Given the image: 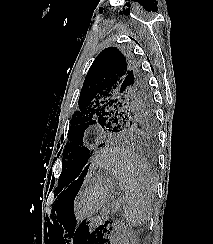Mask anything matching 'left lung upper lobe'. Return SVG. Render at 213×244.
I'll use <instances>...</instances> for the list:
<instances>
[{"label": "left lung upper lobe", "instance_id": "obj_1", "mask_svg": "<svg viewBox=\"0 0 213 244\" xmlns=\"http://www.w3.org/2000/svg\"><path fill=\"white\" fill-rule=\"evenodd\" d=\"M76 111L70 121L68 142L62 158L60 191L75 178L85 129L98 122L112 133H127L137 139L152 140L156 117L152 93L141 67L116 47L95 58L86 75Z\"/></svg>", "mask_w": 213, "mask_h": 244}]
</instances>
